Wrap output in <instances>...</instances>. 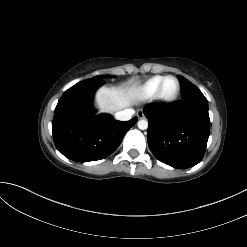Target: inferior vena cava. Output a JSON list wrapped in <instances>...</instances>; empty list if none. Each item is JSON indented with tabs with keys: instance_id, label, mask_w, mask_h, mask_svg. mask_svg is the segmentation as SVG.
Returning a JSON list of instances; mask_svg holds the SVG:
<instances>
[{
	"instance_id": "obj_1",
	"label": "inferior vena cava",
	"mask_w": 247,
	"mask_h": 247,
	"mask_svg": "<svg viewBox=\"0 0 247 247\" xmlns=\"http://www.w3.org/2000/svg\"><path fill=\"white\" fill-rule=\"evenodd\" d=\"M134 112L135 111L133 109H124L122 111L116 112L115 118L120 121H128L131 119Z\"/></svg>"
}]
</instances>
